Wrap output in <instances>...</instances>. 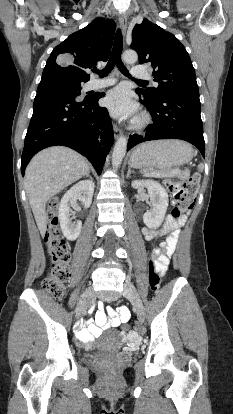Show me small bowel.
Listing matches in <instances>:
<instances>
[{
	"instance_id": "1",
	"label": "small bowel",
	"mask_w": 233,
	"mask_h": 414,
	"mask_svg": "<svg viewBox=\"0 0 233 414\" xmlns=\"http://www.w3.org/2000/svg\"><path fill=\"white\" fill-rule=\"evenodd\" d=\"M184 219L174 220L168 216L164 225L159 230L143 228V234L147 240H152L157 236L170 235L167 241L161 243L163 253L160 258L155 261V271L158 276H163L169 265V253L173 250L180 227L183 225ZM97 305L96 303L94 304ZM130 319V312L127 307L121 306L118 309L104 307L102 302L98 303V310L95 318L81 324L78 330V339L81 343H92L95 336L100 334L102 329L115 328Z\"/></svg>"
}]
</instances>
